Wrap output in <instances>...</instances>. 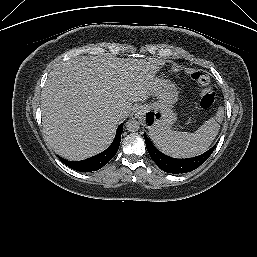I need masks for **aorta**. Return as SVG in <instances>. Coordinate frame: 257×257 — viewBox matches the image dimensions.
Here are the masks:
<instances>
[{"instance_id":"1","label":"aorta","mask_w":257,"mask_h":257,"mask_svg":"<svg viewBox=\"0 0 257 257\" xmlns=\"http://www.w3.org/2000/svg\"><path fill=\"white\" fill-rule=\"evenodd\" d=\"M126 128L130 132H136V131L139 130L140 124H139V122L137 120H134V119L128 120L126 122Z\"/></svg>"}]
</instances>
